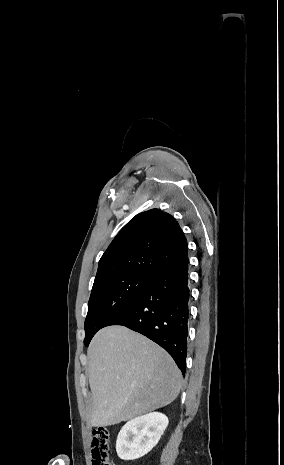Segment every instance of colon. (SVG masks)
<instances>
[{"label": "colon", "mask_w": 284, "mask_h": 465, "mask_svg": "<svg viewBox=\"0 0 284 465\" xmlns=\"http://www.w3.org/2000/svg\"><path fill=\"white\" fill-rule=\"evenodd\" d=\"M91 465H113L110 458V433L108 430L95 429L92 432Z\"/></svg>", "instance_id": "colon-1"}]
</instances>
